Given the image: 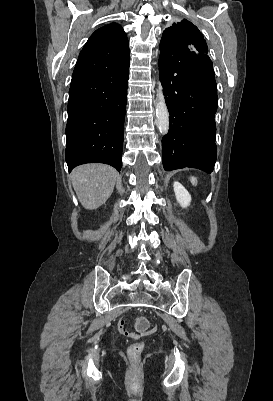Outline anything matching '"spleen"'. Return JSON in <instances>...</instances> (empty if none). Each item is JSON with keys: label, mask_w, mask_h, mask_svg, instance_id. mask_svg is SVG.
I'll return each instance as SVG.
<instances>
[{"label": "spleen", "mask_w": 273, "mask_h": 401, "mask_svg": "<svg viewBox=\"0 0 273 401\" xmlns=\"http://www.w3.org/2000/svg\"><path fill=\"white\" fill-rule=\"evenodd\" d=\"M190 180H191L192 184H197L196 176H191Z\"/></svg>", "instance_id": "spleen-1"}]
</instances>
